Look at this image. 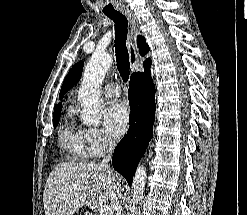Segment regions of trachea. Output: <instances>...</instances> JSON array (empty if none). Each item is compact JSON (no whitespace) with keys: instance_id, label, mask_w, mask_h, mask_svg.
I'll list each match as a JSON object with an SVG mask.
<instances>
[{"instance_id":"3493384b","label":"trachea","mask_w":247,"mask_h":215,"mask_svg":"<svg viewBox=\"0 0 247 215\" xmlns=\"http://www.w3.org/2000/svg\"><path fill=\"white\" fill-rule=\"evenodd\" d=\"M115 23V53L117 68L124 82L128 81L130 75L129 54L126 47L128 33V20L119 12L107 13Z\"/></svg>"}]
</instances>
